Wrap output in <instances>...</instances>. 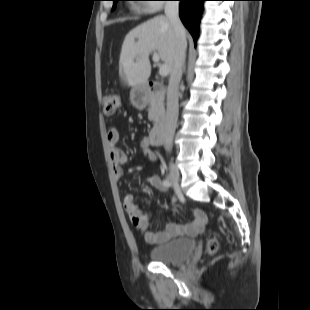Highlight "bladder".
Segmentation results:
<instances>
[{"instance_id": "obj_1", "label": "bladder", "mask_w": 310, "mask_h": 310, "mask_svg": "<svg viewBox=\"0 0 310 310\" xmlns=\"http://www.w3.org/2000/svg\"><path fill=\"white\" fill-rule=\"evenodd\" d=\"M195 248L196 243L193 239L177 238L151 248L149 256L154 262L176 264L189 259Z\"/></svg>"}]
</instances>
